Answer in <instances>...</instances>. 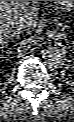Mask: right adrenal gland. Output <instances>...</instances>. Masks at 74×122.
<instances>
[{
	"mask_svg": "<svg viewBox=\"0 0 74 122\" xmlns=\"http://www.w3.org/2000/svg\"><path fill=\"white\" fill-rule=\"evenodd\" d=\"M19 36H20V32H13V33L7 35V37H6V43H9L10 40L13 39V37L19 38Z\"/></svg>",
	"mask_w": 74,
	"mask_h": 122,
	"instance_id": "right-adrenal-gland-1",
	"label": "right adrenal gland"
}]
</instances>
